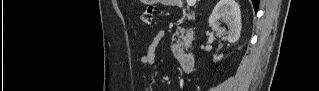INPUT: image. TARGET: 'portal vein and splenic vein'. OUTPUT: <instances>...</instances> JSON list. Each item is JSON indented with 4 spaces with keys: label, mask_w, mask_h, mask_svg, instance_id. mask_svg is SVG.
<instances>
[{
    "label": "portal vein and splenic vein",
    "mask_w": 319,
    "mask_h": 91,
    "mask_svg": "<svg viewBox=\"0 0 319 91\" xmlns=\"http://www.w3.org/2000/svg\"><path fill=\"white\" fill-rule=\"evenodd\" d=\"M187 2L189 6H193L196 3L195 0H188Z\"/></svg>",
    "instance_id": "18ae733b"
}]
</instances>
